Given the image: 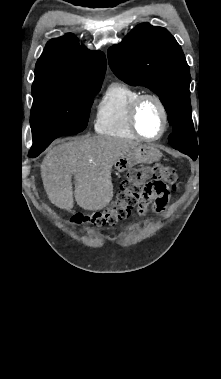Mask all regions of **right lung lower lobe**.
Wrapping results in <instances>:
<instances>
[{
	"instance_id": "98d812e1",
	"label": "right lung lower lobe",
	"mask_w": 221,
	"mask_h": 379,
	"mask_svg": "<svg viewBox=\"0 0 221 379\" xmlns=\"http://www.w3.org/2000/svg\"><path fill=\"white\" fill-rule=\"evenodd\" d=\"M44 149H45L44 147L39 148V149L31 148V150L29 152V157L34 158V157L38 156Z\"/></svg>"
}]
</instances>
